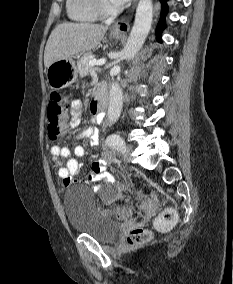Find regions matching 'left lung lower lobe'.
<instances>
[{
	"instance_id": "1",
	"label": "left lung lower lobe",
	"mask_w": 233,
	"mask_h": 284,
	"mask_svg": "<svg viewBox=\"0 0 233 284\" xmlns=\"http://www.w3.org/2000/svg\"><path fill=\"white\" fill-rule=\"evenodd\" d=\"M160 1H161L162 15H164L167 11V4H166L167 0H160ZM164 28H165V22L164 19L161 18L157 26V33L160 34ZM158 41L161 42V40Z\"/></svg>"
}]
</instances>
